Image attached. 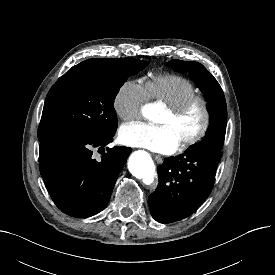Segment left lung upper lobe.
Masks as SVG:
<instances>
[{
    "label": "left lung upper lobe",
    "mask_w": 275,
    "mask_h": 275,
    "mask_svg": "<svg viewBox=\"0 0 275 275\" xmlns=\"http://www.w3.org/2000/svg\"><path fill=\"white\" fill-rule=\"evenodd\" d=\"M166 65L180 73L189 72L190 78L205 94L210 112V125L205 138L190 148L215 147L222 149L226 132L227 110L224 93L217 80L202 64L197 62L171 60Z\"/></svg>",
    "instance_id": "obj_1"
}]
</instances>
